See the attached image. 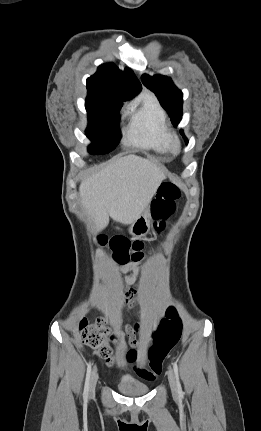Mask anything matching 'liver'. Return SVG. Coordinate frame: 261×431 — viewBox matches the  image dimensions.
Here are the masks:
<instances>
[{
    "mask_svg": "<svg viewBox=\"0 0 261 431\" xmlns=\"http://www.w3.org/2000/svg\"><path fill=\"white\" fill-rule=\"evenodd\" d=\"M164 178L153 162L127 155L81 182V203L97 230L107 227L109 216L116 222L131 224L148 207Z\"/></svg>",
    "mask_w": 261,
    "mask_h": 431,
    "instance_id": "liver-1",
    "label": "liver"
}]
</instances>
